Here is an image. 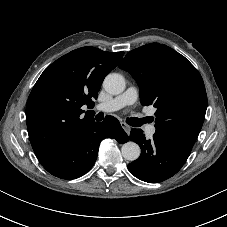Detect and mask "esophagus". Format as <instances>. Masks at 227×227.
<instances>
[{"mask_svg":"<svg viewBox=\"0 0 227 227\" xmlns=\"http://www.w3.org/2000/svg\"><path fill=\"white\" fill-rule=\"evenodd\" d=\"M121 126L125 130V132L129 135L131 131V127L127 125L125 122H121Z\"/></svg>","mask_w":227,"mask_h":227,"instance_id":"esophagus-1","label":"esophagus"}]
</instances>
